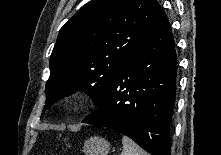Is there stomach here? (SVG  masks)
Instances as JSON below:
<instances>
[{
	"label": "stomach",
	"mask_w": 221,
	"mask_h": 155,
	"mask_svg": "<svg viewBox=\"0 0 221 155\" xmlns=\"http://www.w3.org/2000/svg\"><path fill=\"white\" fill-rule=\"evenodd\" d=\"M110 143L101 137H91L84 142L83 152L85 155H108Z\"/></svg>",
	"instance_id": "0dacf381"
}]
</instances>
